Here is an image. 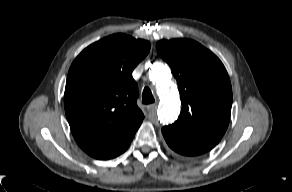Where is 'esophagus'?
<instances>
[{
  "mask_svg": "<svg viewBox=\"0 0 292 192\" xmlns=\"http://www.w3.org/2000/svg\"><path fill=\"white\" fill-rule=\"evenodd\" d=\"M156 108H157V103H152V104L147 105V110L150 112L156 110Z\"/></svg>",
  "mask_w": 292,
  "mask_h": 192,
  "instance_id": "esophagus-1",
  "label": "esophagus"
}]
</instances>
